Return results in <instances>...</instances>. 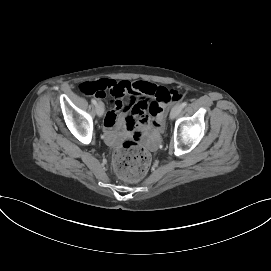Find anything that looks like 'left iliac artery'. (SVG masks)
<instances>
[{
    "instance_id": "left-iliac-artery-1",
    "label": "left iliac artery",
    "mask_w": 271,
    "mask_h": 271,
    "mask_svg": "<svg viewBox=\"0 0 271 271\" xmlns=\"http://www.w3.org/2000/svg\"><path fill=\"white\" fill-rule=\"evenodd\" d=\"M181 106H182V108L186 107V106H187V102H183V103L181 104Z\"/></svg>"
}]
</instances>
